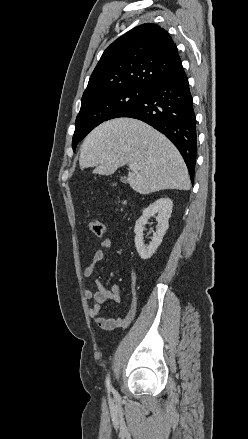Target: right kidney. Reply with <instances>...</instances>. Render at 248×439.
<instances>
[{
	"label": "right kidney",
	"mask_w": 248,
	"mask_h": 439,
	"mask_svg": "<svg viewBox=\"0 0 248 439\" xmlns=\"http://www.w3.org/2000/svg\"><path fill=\"white\" fill-rule=\"evenodd\" d=\"M173 202L169 198H160L143 210L142 216L136 221L135 246L139 256L143 260L149 259L161 244L162 239L169 227L168 220L172 213ZM158 213L157 230L153 233L152 241L149 245L144 244L143 231L148 219Z\"/></svg>",
	"instance_id": "ca27d5eb"
}]
</instances>
